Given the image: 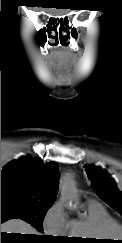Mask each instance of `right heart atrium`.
I'll return each mask as SVG.
<instances>
[{"label":"right heart atrium","mask_w":122,"mask_h":243,"mask_svg":"<svg viewBox=\"0 0 122 243\" xmlns=\"http://www.w3.org/2000/svg\"><path fill=\"white\" fill-rule=\"evenodd\" d=\"M68 221L63 203L58 201L46 213L43 220V228L50 235L62 236L67 233Z\"/></svg>","instance_id":"d8ad5b80"}]
</instances>
